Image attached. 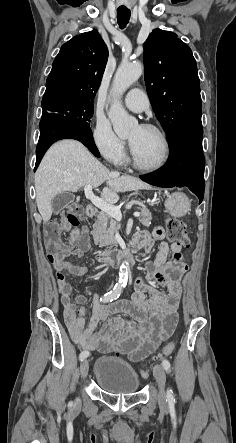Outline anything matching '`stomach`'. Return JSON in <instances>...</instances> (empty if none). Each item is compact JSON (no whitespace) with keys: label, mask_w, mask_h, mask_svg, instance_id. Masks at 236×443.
<instances>
[{"label":"stomach","mask_w":236,"mask_h":443,"mask_svg":"<svg viewBox=\"0 0 236 443\" xmlns=\"http://www.w3.org/2000/svg\"><path fill=\"white\" fill-rule=\"evenodd\" d=\"M165 207L172 216L181 217L189 210L190 203L185 194L174 192L167 197Z\"/></svg>","instance_id":"stomach-1"}]
</instances>
